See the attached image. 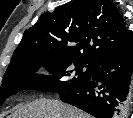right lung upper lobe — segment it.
I'll list each match as a JSON object with an SVG mask.
<instances>
[{
    "mask_svg": "<svg viewBox=\"0 0 133 118\" xmlns=\"http://www.w3.org/2000/svg\"><path fill=\"white\" fill-rule=\"evenodd\" d=\"M129 42L125 22L111 0H74L43 13L24 32L7 69L51 58L92 67Z\"/></svg>",
    "mask_w": 133,
    "mask_h": 118,
    "instance_id": "1",
    "label": "right lung upper lobe"
}]
</instances>
